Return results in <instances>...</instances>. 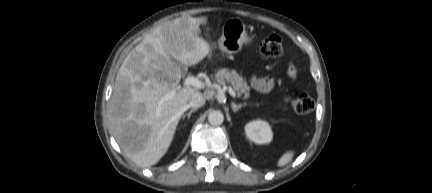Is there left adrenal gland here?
I'll use <instances>...</instances> for the list:
<instances>
[{
  "instance_id": "1",
  "label": "left adrenal gland",
  "mask_w": 432,
  "mask_h": 193,
  "mask_svg": "<svg viewBox=\"0 0 432 193\" xmlns=\"http://www.w3.org/2000/svg\"><path fill=\"white\" fill-rule=\"evenodd\" d=\"M244 106H246V103L236 105L234 102H232V104H231V107H232V110L234 113L237 112L238 110H240Z\"/></svg>"
}]
</instances>
